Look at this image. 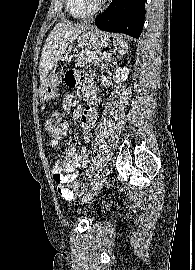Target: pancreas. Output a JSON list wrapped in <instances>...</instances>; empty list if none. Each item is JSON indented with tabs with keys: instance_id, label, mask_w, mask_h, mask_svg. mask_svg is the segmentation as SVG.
I'll return each mask as SVG.
<instances>
[{
	"instance_id": "pancreas-1",
	"label": "pancreas",
	"mask_w": 195,
	"mask_h": 270,
	"mask_svg": "<svg viewBox=\"0 0 195 270\" xmlns=\"http://www.w3.org/2000/svg\"><path fill=\"white\" fill-rule=\"evenodd\" d=\"M107 58L102 57L101 53H78L76 55V65L79 67H88L91 65H100L101 63L105 62Z\"/></svg>"
}]
</instances>
